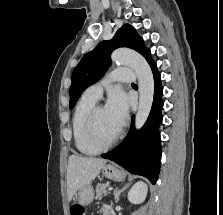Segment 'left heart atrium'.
Returning <instances> with one entry per match:
<instances>
[{
	"instance_id": "left-heart-atrium-1",
	"label": "left heart atrium",
	"mask_w": 223,
	"mask_h": 215,
	"mask_svg": "<svg viewBox=\"0 0 223 215\" xmlns=\"http://www.w3.org/2000/svg\"><path fill=\"white\" fill-rule=\"evenodd\" d=\"M104 109L108 116L120 128L125 123L128 114V100L125 94L120 90L114 91L109 96Z\"/></svg>"
}]
</instances>
